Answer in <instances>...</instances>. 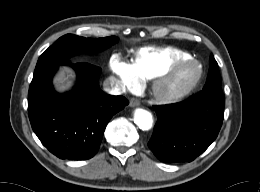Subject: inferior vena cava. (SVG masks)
Wrapping results in <instances>:
<instances>
[{
    "label": "inferior vena cava",
    "instance_id": "602c4592",
    "mask_svg": "<svg viewBox=\"0 0 260 192\" xmlns=\"http://www.w3.org/2000/svg\"><path fill=\"white\" fill-rule=\"evenodd\" d=\"M104 91L112 95H121L126 92L125 85L115 77H108L103 83Z\"/></svg>",
    "mask_w": 260,
    "mask_h": 192
}]
</instances>
